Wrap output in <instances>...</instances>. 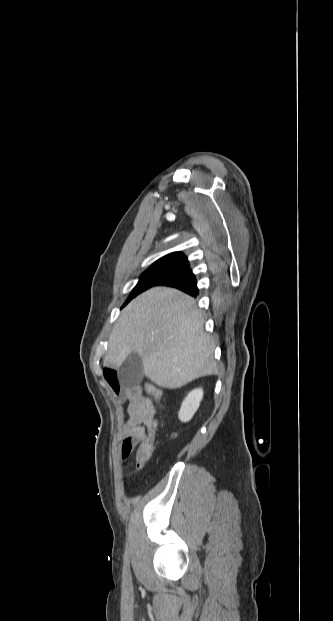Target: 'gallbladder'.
<instances>
[{"instance_id":"1","label":"gallbladder","mask_w":333,"mask_h":621,"mask_svg":"<svg viewBox=\"0 0 333 621\" xmlns=\"http://www.w3.org/2000/svg\"><path fill=\"white\" fill-rule=\"evenodd\" d=\"M143 377L142 359L138 354L131 353L117 371L118 381L126 387H132L138 385Z\"/></svg>"}]
</instances>
